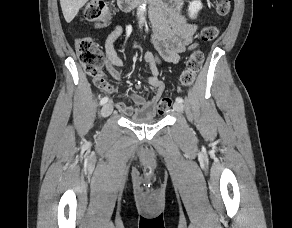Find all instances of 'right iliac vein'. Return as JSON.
Instances as JSON below:
<instances>
[{"label": "right iliac vein", "mask_w": 292, "mask_h": 228, "mask_svg": "<svg viewBox=\"0 0 292 228\" xmlns=\"http://www.w3.org/2000/svg\"><path fill=\"white\" fill-rule=\"evenodd\" d=\"M112 111H113V104H112V102H108L103 106V108L101 110V115L103 117H107L111 114Z\"/></svg>", "instance_id": "right-iliac-vein-1"}]
</instances>
